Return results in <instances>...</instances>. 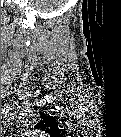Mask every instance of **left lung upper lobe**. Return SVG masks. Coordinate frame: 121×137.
Instances as JSON below:
<instances>
[{"label": "left lung upper lobe", "instance_id": "1", "mask_svg": "<svg viewBox=\"0 0 121 137\" xmlns=\"http://www.w3.org/2000/svg\"><path fill=\"white\" fill-rule=\"evenodd\" d=\"M42 121L35 125L36 128L47 131L48 133H55L58 130V125L53 117L42 113Z\"/></svg>", "mask_w": 121, "mask_h": 137}]
</instances>
